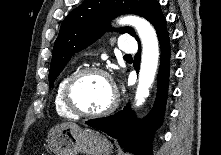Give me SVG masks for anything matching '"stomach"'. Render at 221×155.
Returning <instances> with one entry per match:
<instances>
[{
  "mask_svg": "<svg viewBox=\"0 0 221 155\" xmlns=\"http://www.w3.org/2000/svg\"><path fill=\"white\" fill-rule=\"evenodd\" d=\"M47 149L54 155H111L113 145L100 132L63 123L50 130Z\"/></svg>",
  "mask_w": 221,
  "mask_h": 155,
  "instance_id": "stomach-1",
  "label": "stomach"
}]
</instances>
